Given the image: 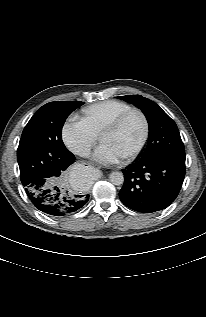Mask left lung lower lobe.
<instances>
[{
    "mask_svg": "<svg viewBox=\"0 0 206 317\" xmlns=\"http://www.w3.org/2000/svg\"><path fill=\"white\" fill-rule=\"evenodd\" d=\"M119 192L128 208L152 213L168 207L177 197L185 176V161L174 158L140 159L123 169Z\"/></svg>",
    "mask_w": 206,
    "mask_h": 317,
    "instance_id": "left-lung-lower-lobe-1",
    "label": "left lung lower lobe"
}]
</instances>
